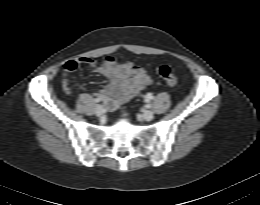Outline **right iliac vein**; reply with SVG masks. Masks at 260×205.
<instances>
[{"mask_svg": "<svg viewBox=\"0 0 260 205\" xmlns=\"http://www.w3.org/2000/svg\"><path fill=\"white\" fill-rule=\"evenodd\" d=\"M94 112L97 116H101L104 113V108L101 105H96Z\"/></svg>", "mask_w": 260, "mask_h": 205, "instance_id": "obj_1", "label": "right iliac vein"}]
</instances>
